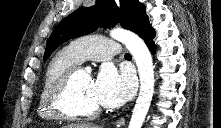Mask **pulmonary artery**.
Wrapping results in <instances>:
<instances>
[{"label": "pulmonary artery", "instance_id": "e3ab8cb5", "mask_svg": "<svg viewBox=\"0 0 221 128\" xmlns=\"http://www.w3.org/2000/svg\"><path fill=\"white\" fill-rule=\"evenodd\" d=\"M70 46L78 53L80 60H108L122 58L121 44L95 35H86L71 41Z\"/></svg>", "mask_w": 221, "mask_h": 128}]
</instances>
